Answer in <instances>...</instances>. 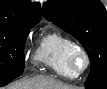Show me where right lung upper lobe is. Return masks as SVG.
<instances>
[{"mask_svg":"<svg viewBox=\"0 0 107 89\" xmlns=\"http://www.w3.org/2000/svg\"><path fill=\"white\" fill-rule=\"evenodd\" d=\"M40 19L39 3L30 0H0V22L33 27Z\"/></svg>","mask_w":107,"mask_h":89,"instance_id":"right-lung-upper-lobe-1","label":"right lung upper lobe"}]
</instances>
